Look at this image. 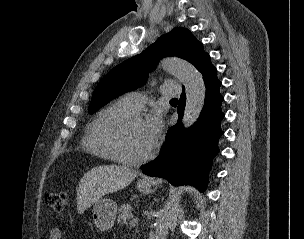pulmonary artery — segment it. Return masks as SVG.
I'll return each instance as SVG.
<instances>
[{
  "label": "pulmonary artery",
  "mask_w": 304,
  "mask_h": 239,
  "mask_svg": "<svg viewBox=\"0 0 304 239\" xmlns=\"http://www.w3.org/2000/svg\"><path fill=\"white\" fill-rule=\"evenodd\" d=\"M161 93L166 97H176L180 95L181 87L173 81H167L162 84ZM121 100L131 110L137 112L143 107L146 101V97L145 95L139 92H129L125 94Z\"/></svg>",
  "instance_id": "1"
}]
</instances>
